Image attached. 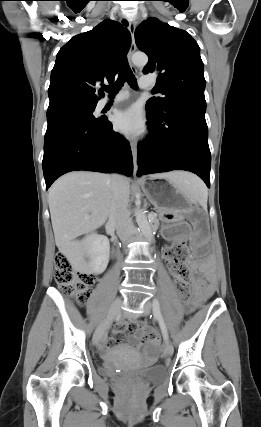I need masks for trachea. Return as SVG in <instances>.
<instances>
[{"label": "trachea", "instance_id": "3493384b", "mask_svg": "<svg viewBox=\"0 0 261 427\" xmlns=\"http://www.w3.org/2000/svg\"><path fill=\"white\" fill-rule=\"evenodd\" d=\"M125 81H127V83L134 89L137 88V81L136 78L133 74V72L130 69V66L127 62V60H125L120 68V72L118 75V79L109 87L106 88V90L110 93V94H115L118 93L119 90H121V88L123 87Z\"/></svg>", "mask_w": 261, "mask_h": 427}]
</instances>
